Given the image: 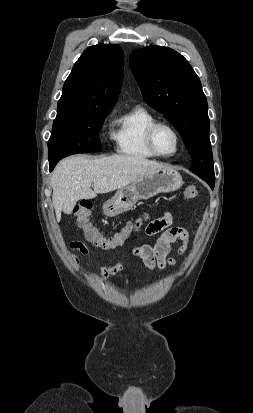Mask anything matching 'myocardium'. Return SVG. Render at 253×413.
<instances>
[{"label": "myocardium", "mask_w": 253, "mask_h": 413, "mask_svg": "<svg viewBox=\"0 0 253 413\" xmlns=\"http://www.w3.org/2000/svg\"><path fill=\"white\" fill-rule=\"evenodd\" d=\"M167 127L169 128L175 138H176V149L172 154H162L161 152L158 151V149L156 148L155 145V132L159 127ZM145 141H146V145L148 147V149L157 157H161V158H171L174 157L180 150L181 148V136L178 132V130L176 129V127L174 125H172L171 123L167 122V121H155L152 124H150L148 126V128L146 129L145 132Z\"/></svg>", "instance_id": "myocardium-1"}]
</instances>
